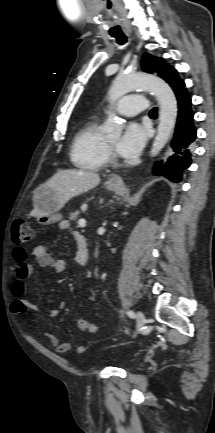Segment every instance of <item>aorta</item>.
I'll return each instance as SVG.
<instances>
[{
    "instance_id": "1",
    "label": "aorta",
    "mask_w": 215,
    "mask_h": 433,
    "mask_svg": "<svg viewBox=\"0 0 215 433\" xmlns=\"http://www.w3.org/2000/svg\"><path fill=\"white\" fill-rule=\"evenodd\" d=\"M136 89L151 91L160 106L157 135L150 152V156L155 157L166 145L174 129L178 111L176 97L171 87L159 77L148 74H126L119 75L114 80L109 90V101L113 105L120 97ZM122 129L120 119L114 113H110L105 131L110 136H119Z\"/></svg>"
}]
</instances>
